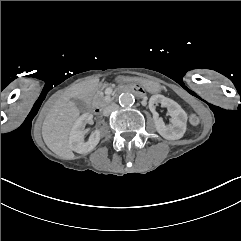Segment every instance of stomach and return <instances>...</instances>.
I'll list each match as a JSON object with an SVG mask.
<instances>
[{
  "mask_svg": "<svg viewBox=\"0 0 241 241\" xmlns=\"http://www.w3.org/2000/svg\"><path fill=\"white\" fill-rule=\"evenodd\" d=\"M121 80L130 81L139 83L142 85L148 92L156 93L161 90V85L156 81H151L148 79H142V78H120Z\"/></svg>",
  "mask_w": 241,
  "mask_h": 241,
  "instance_id": "1",
  "label": "stomach"
}]
</instances>
